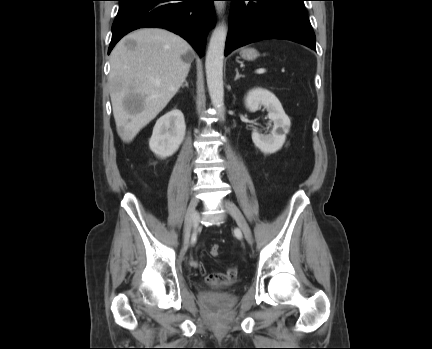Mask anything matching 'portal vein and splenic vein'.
Returning <instances> with one entry per match:
<instances>
[{"mask_svg":"<svg viewBox=\"0 0 432 349\" xmlns=\"http://www.w3.org/2000/svg\"><path fill=\"white\" fill-rule=\"evenodd\" d=\"M265 72H266L265 68H259V69L256 70V73H258V74H262V73H265Z\"/></svg>","mask_w":432,"mask_h":349,"instance_id":"portal-vein-and-splenic-vein-1","label":"portal vein and splenic vein"}]
</instances>
